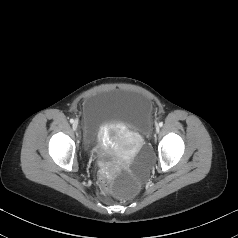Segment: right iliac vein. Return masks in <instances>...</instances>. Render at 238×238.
Listing matches in <instances>:
<instances>
[{"mask_svg": "<svg viewBox=\"0 0 238 238\" xmlns=\"http://www.w3.org/2000/svg\"><path fill=\"white\" fill-rule=\"evenodd\" d=\"M72 127H73V130L76 131L78 128V121H74Z\"/></svg>", "mask_w": 238, "mask_h": 238, "instance_id": "63e3f726", "label": "right iliac vein"}]
</instances>
